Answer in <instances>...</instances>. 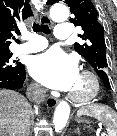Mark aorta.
Here are the masks:
<instances>
[{
    "instance_id": "1",
    "label": "aorta",
    "mask_w": 117,
    "mask_h": 136,
    "mask_svg": "<svg viewBox=\"0 0 117 136\" xmlns=\"http://www.w3.org/2000/svg\"><path fill=\"white\" fill-rule=\"evenodd\" d=\"M51 18L56 22H63L69 18V9L63 4H56L50 10ZM70 114V106L61 101L54 112L53 124L56 132H60L66 125Z\"/></svg>"
}]
</instances>
